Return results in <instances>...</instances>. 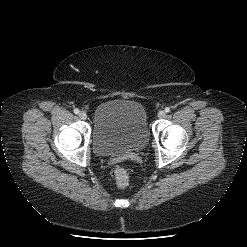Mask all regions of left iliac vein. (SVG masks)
<instances>
[{
	"instance_id": "obj_1",
	"label": "left iliac vein",
	"mask_w": 247,
	"mask_h": 247,
	"mask_svg": "<svg viewBox=\"0 0 247 247\" xmlns=\"http://www.w3.org/2000/svg\"><path fill=\"white\" fill-rule=\"evenodd\" d=\"M165 116H166V112L165 111L161 110V111L158 112V117L159 118H164Z\"/></svg>"
}]
</instances>
